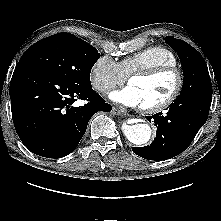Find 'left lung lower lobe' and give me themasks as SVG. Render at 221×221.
<instances>
[{
  "label": "left lung lower lobe",
  "instance_id": "left-lung-lower-lobe-1",
  "mask_svg": "<svg viewBox=\"0 0 221 221\" xmlns=\"http://www.w3.org/2000/svg\"><path fill=\"white\" fill-rule=\"evenodd\" d=\"M212 100V87L175 100L165 115L147 116L154 121L157 134L154 141L145 147H132L138 156L148 160H166L182 153L194 139L208 118Z\"/></svg>",
  "mask_w": 221,
  "mask_h": 221
}]
</instances>
